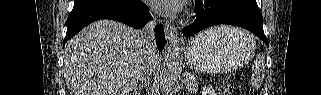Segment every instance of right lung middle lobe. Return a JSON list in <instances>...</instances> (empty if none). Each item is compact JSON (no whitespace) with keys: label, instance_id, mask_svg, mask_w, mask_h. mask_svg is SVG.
<instances>
[{"label":"right lung middle lobe","instance_id":"obj_1","mask_svg":"<svg viewBox=\"0 0 321 95\" xmlns=\"http://www.w3.org/2000/svg\"><path fill=\"white\" fill-rule=\"evenodd\" d=\"M136 0H74V8L87 7V6H98L106 4H132Z\"/></svg>","mask_w":321,"mask_h":95}]
</instances>
